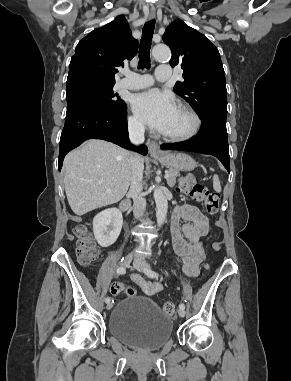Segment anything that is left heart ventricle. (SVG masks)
Segmentation results:
<instances>
[{
  "label": "left heart ventricle",
  "instance_id": "b2bd125f",
  "mask_svg": "<svg viewBox=\"0 0 291 381\" xmlns=\"http://www.w3.org/2000/svg\"><path fill=\"white\" fill-rule=\"evenodd\" d=\"M192 126L191 117L181 108H177L166 130L162 133L178 135L189 131Z\"/></svg>",
  "mask_w": 291,
  "mask_h": 381
}]
</instances>
